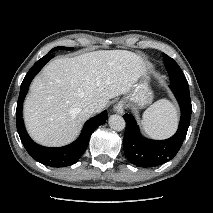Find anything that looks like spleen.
Instances as JSON below:
<instances>
[{
	"instance_id": "obj_1",
	"label": "spleen",
	"mask_w": 213,
	"mask_h": 213,
	"mask_svg": "<svg viewBox=\"0 0 213 213\" xmlns=\"http://www.w3.org/2000/svg\"><path fill=\"white\" fill-rule=\"evenodd\" d=\"M177 110L166 99H161L151 105L142 117V127L146 134L152 138H165L170 136L177 127Z\"/></svg>"
}]
</instances>
